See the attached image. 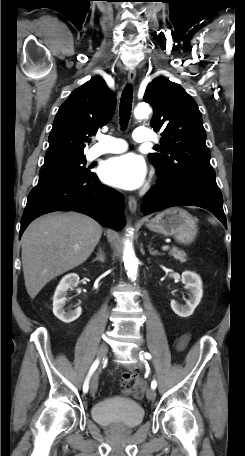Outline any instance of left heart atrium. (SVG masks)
Wrapping results in <instances>:
<instances>
[{
	"mask_svg": "<svg viewBox=\"0 0 245 456\" xmlns=\"http://www.w3.org/2000/svg\"><path fill=\"white\" fill-rule=\"evenodd\" d=\"M101 177L110 185L128 190L136 189L145 180L146 164L134 153L112 157L103 164Z\"/></svg>",
	"mask_w": 245,
	"mask_h": 456,
	"instance_id": "39dd6f15",
	"label": "left heart atrium"
}]
</instances>
